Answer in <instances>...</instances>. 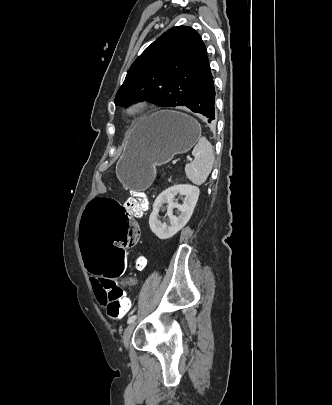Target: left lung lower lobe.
<instances>
[{
	"label": "left lung lower lobe",
	"mask_w": 332,
	"mask_h": 405,
	"mask_svg": "<svg viewBox=\"0 0 332 405\" xmlns=\"http://www.w3.org/2000/svg\"><path fill=\"white\" fill-rule=\"evenodd\" d=\"M188 107L201 114L209 123L216 120L215 87L209 63L198 78Z\"/></svg>",
	"instance_id": "obj_1"
}]
</instances>
